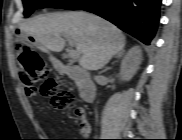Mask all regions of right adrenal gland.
I'll return each mask as SVG.
<instances>
[{"instance_id": "right-adrenal-gland-1", "label": "right adrenal gland", "mask_w": 182, "mask_h": 140, "mask_svg": "<svg viewBox=\"0 0 182 140\" xmlns=\"http://www.w3.org/2000/svg\"><path fill=\"white\" fill-rule=\"evenodd\" d=\"M121 55H122V53H118L115 57L119 59L121 57ZM106 69H108V68H106Z\"/></svg>"}]
</instances>
